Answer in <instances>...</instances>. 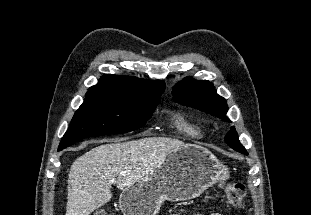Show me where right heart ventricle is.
Here are the masks:
<instances>
[{
  "mask_svg": "<svg viewBox=\"0 0 311 215\" xmlns=\"http://www.w3.org/2000/svg\"><path fill=\"white\" fill-rule=\"evenodd\" d=\"M171 121L174 128L185 136L191 138H199L202 136L201 126L197 122L188 118L185 114L176 113Z\"/></svg>",
  "mask_w": 311,
  "mask_h": 215,
  "instance_id": "e07e8e85",
  "label": "right heart ventricle"
}]
</instances>
